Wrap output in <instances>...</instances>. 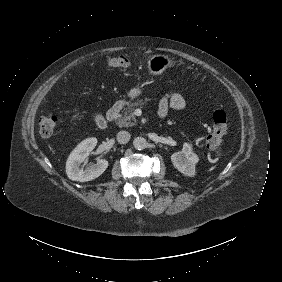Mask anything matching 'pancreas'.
Masks as SVG:
<instances>
[{"instance_id":"1","label":"pancreas","mask_w":282,"mask_h":282,"mask_svg":"<svg viewBox=\"0 0 282 282\" xmlns=\"http://www.w3.org/2000/svg\"><path fill=\"white\" fill-rule=\"evenodd\" d=\"M142 103L141 100L134 103H127V107L124 108L122 114L119 116L117 120V124L119 127H129L134 126L136 124V117L134 115L135 107L140 106Z\"/></svg>"}]
</instances>
